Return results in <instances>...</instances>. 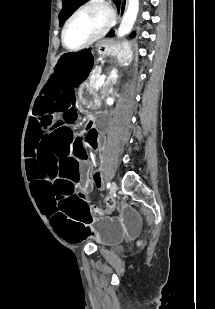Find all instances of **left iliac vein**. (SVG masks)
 <instances>
[{
  "label": "left iliac vein",
  "mask_w": 215,
  "mask_h": 309,
  "mask_svg": "<svg viewBox=\"0 0 215 309\" xmlns=\"http://www.w3.org/2000/svg\"><path fill=\"white\" fill-rule=\"evenodd\" d=\"M117 189H118L117 184L116 182L113 181L110 186V195H114Z\"/></svg>",
  "instance_id": "obj_1"
}]
</instances>
